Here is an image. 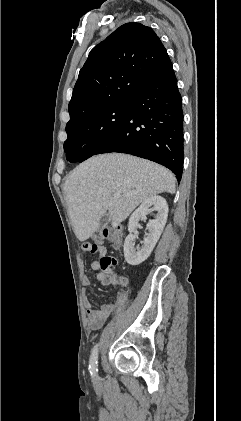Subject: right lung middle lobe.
<instances>
[{
    "label": "right lung middle lobe",
    "instance_id": "obj_1",
    "mask_svg": "<svg viewBox=\"0 0 241 421\" xmlns=\"http://www.w3.org/2000/svg\"><path fill=\"white\" fill-rule=\"evenodd\" d=\"M128 100L94 111L66 126L68 138L64 143L66 158L82 162L96 154L122 127Z\"/></svg>",
    "mask_w": 241,
    "mask_h": 421
}]
</instances>
